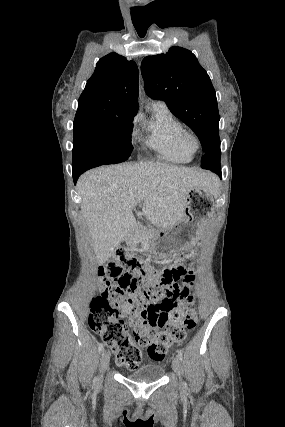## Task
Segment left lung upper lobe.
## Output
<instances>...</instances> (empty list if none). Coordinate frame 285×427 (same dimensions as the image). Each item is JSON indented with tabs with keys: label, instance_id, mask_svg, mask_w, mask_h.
<instances>
[{
	"label": "left lung upper lobe",
	"instance_id": "left-lung-upper-lobe-1",
	"mask_svg": "<svg viewBox=\"0 0 285 427\" xmlns=\"http://www.w3.org/2000/svg\"><path fill=\"white\" fill-rule=\"evenodd\" d=\"M145 90L166 102L170 111L199 137L204 155L201 167L220 168L219 112L215 90L196 56L181 47L147 56L141 63Z\"/></svg>",
	"mask_w": 285,
	"mask_h": 427
}]
</instances>
